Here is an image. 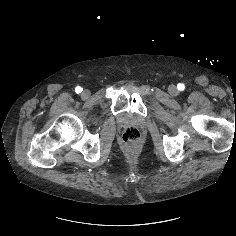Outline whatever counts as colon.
I'll return each mask as SVG.
<instances>
[{
	"label": "colon",
	"instance_id": "5ec220e1",
	"mask_svg": "<svg viewBox=\"0 0 236 236\" xmlns=\"http://www.w3.org/2000/svg\"><path fill=\"white\" fill-rule=\"evenodd\" d=\"M122 139L125 144H136L141 139V132L137 127L130 126L125 129Z\"/></svg>",
	"mask_w": 236,
	"mask_h": 236
}]
</instances>
